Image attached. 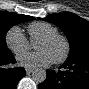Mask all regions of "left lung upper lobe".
Instances as JSON below:
<instances>
[{
    "instance_id": "left-lung-upper-lobe-1",
    "label": "left lung upper lobe",
    "mask_w": 89,
    "mask_h": 89,
    "mask_svg": "<svg viewBox=\"0 0 89 89\" xmlns=\"http://www.w3.org/2000/svg\"><path fill=\"white\" fill-rule=\"evenodd\" d=\"M57 25L66 35L70 44L67 60L89 55V22L71 12L51 14L39 18Z\"/></svg>"
}]
</instances>
